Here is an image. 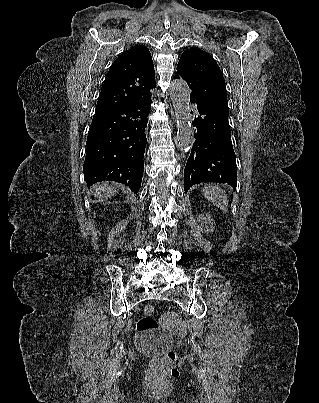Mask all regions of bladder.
Listing matches in <instances>:
<instances>
[{"instance_id":"bladder-1","label":"bladder","mask_w":319,"mask_h":403,"mask_svg":"<svg viewBox=\"0 0 319 403\" xmlns=\"http://www.w3.org/2000/svg\"><path fill=\"white\" fill-rule=\"evenodd\" d=\"M169 344L170 342L167 339L160 337H144L138 342L139 348L147 353L165 348L169 346Z\"/></svg>"}]
</instances>
